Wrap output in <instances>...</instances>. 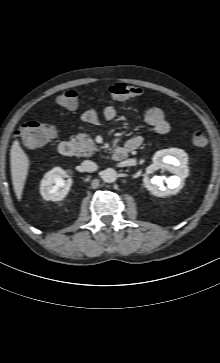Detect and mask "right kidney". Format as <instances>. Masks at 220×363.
Returning a JSON list of instances; mask_svg holds the SVG:
<instances>
[{"mask_svg":"<svg viewBox=\"0 0 220 363\" xmlns=\"http://www.w3.org/2000/svg\"><path fill=\"white\" fill-rule=\"evenodd\" d=\"M71 185L72 179L67 172L60 167H55L42 179L40 193L45 200L60 201L67 195Z\"/></svg>","mask_w":220,"mask_h":363,"instance_id":"1","label":"right kidney"}]
</instances>
